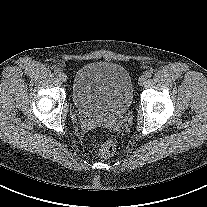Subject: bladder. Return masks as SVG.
Returning <instances> with one entry per match:
<instances>
[{
	"instance_id": "obj_1",
	"label": "bladder",
	"mask_w": 207,
	"mask_h": 207,
	"mask_svg": "<svg viewBox=\"0 0 207 207\" xmlns=\"http://www.w3.org/2000/svg\"><path fill=\"white\" fill-rule=\"evenodd\" d=\"M72 99L76 109L93 118L123 114L133 99V84L129 72L112 62H91L75 75Z\"/></svg>"
}]
</instances>
